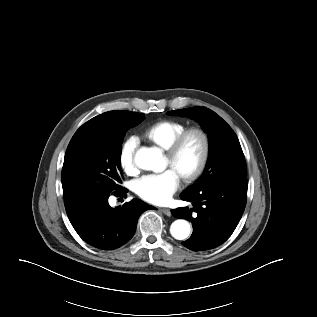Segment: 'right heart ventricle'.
Here are the masks:
<instances>
[{"instance_id":"1","label":"right heart ventricle","mask_w":317,"mask_h":317,"mask_svg":"<svg viewBox=\"0 0 317 317\" xmlns=\"http://www.w3.org/2000/svg\"><path fill=\"white\" fill-rule=\"evenodd\" d=\"M186 129L187 126L182 122L162 120L146 128L143 136L160 148L167 150Z\"/></svg>"}]
</instances>
